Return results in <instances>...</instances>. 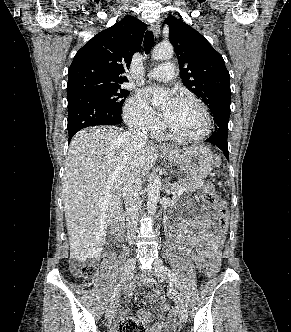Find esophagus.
I'll return each mask as SVG.
<instances>
[{
    "label": "esophagus",
    "instance_id": "1",
    "mask_svg": "<svg viewBox=\"0 0 291 332\" xmlns=\"http://www.w3.org/2000/svg\"><path fill=\"white\" fill-rule=\"evenodd\" d=\"M151 30L154 33L155 37H159V35H160V26L158 24L151 25Z\"/></svg>",
    "mask_w": 291,
    "mask_h": 332
}]
</instances>
